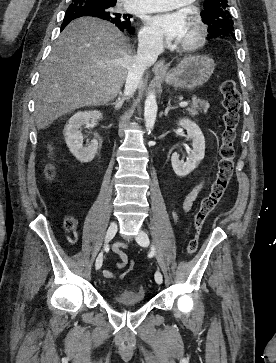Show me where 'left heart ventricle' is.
Returning <instances> with one entry per match:
<instances>
[{"mask_svg": "<svg viewBox=\"0 0 276 363\" xmlns=\"http://www.w3.org/2000/svg\"><path fill=\"white\" fill-rule=\"evenodd\" d=\"M195 34H196L195 27L192 24V22L189 20L187 31L185 32L183 38L181 39V41H179V43H185L192 40L195 37Z\"/></svg>", "mask_w": 276, "mask_h": 363, "instance_id": "obj_1", "label": "left heart ventricle"}]
</instances>
